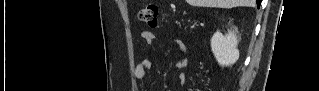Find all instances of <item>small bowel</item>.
I'll use <instances>...</instances> for the list:
<instances>
[{
    "label": "small bowel",
    "mask_w": 319,
    "mask_h": 91,
    "mask_svg": "<svg viewBox=\"0 0 319 91\" xmlns=\"http://www.w3.org/2000/svg\"><path fill=\"white\" fill-rule=\"evenodd\" d=\"M142 40L143 42L149 46V47H154L155 45V35L151 31H143L142 32ZM175 45L176 47L182 51L186 52L187 51V45L185 44L184 41L182 40H175ZM188 65V59L187 58H181L177 60L174 64V67L178 70H182ZM152 66V60L150 58H145L142 59L138 65L135 68V77L140 85H144L145 83V77L150 70ZM178 80L179 83L184 86L187 82V76L184 72H180L178 75Z\"/></svg>",
    "instance_id": "1"
}]
</instances>
